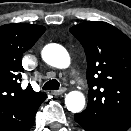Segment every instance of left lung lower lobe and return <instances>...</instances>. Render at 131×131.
I'll return each mask as SVG.
<instances>
[{"instance_id":"left-lung-lower-lobe-1","label":"left lung lower lobe","mask_w":131,"mask_h":131,"mask_svg":"<svg viewBox=\"0 0 131 131\" xmlns=\"http://www.w3.org/2000/svg\"><path fill=\"white\" fill-rule=\"evenodd\" d=\"M75 121L85 130V131H104L95 124H93L86 115L83 113H78L74 115Z\"/></svg>"}]
</instances>
